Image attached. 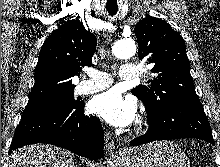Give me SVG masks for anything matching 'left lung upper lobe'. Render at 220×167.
Segmentation results:
<instances>
[{
	"label": "left lung upper lobe",
	"instance_id": "5c2ea615",
	"mask_svg": "<svg viewBox=\"0 0 220 167\" xmlns=\"http://www.w3.org/2000/svg\"><path fill=\"white\" fill-rule=\"evenodd\" d=\"M139 58L153 64L148 86L131 90L149 112L164 109L173 100L200 102L195 92L186 45L182 36L164 20L147 16L135 26Z\"/></svg>",
	"mask_w": 220,
	"mask_h": 167
}]
</instances>
